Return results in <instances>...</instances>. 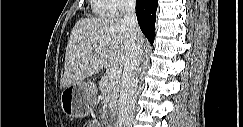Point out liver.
Wrapping results in <instances>:
<instances>
[{"mask_svg": "<svg viewBox=\"0 0 243 127\" xmlns=\"http://www.w3.org/2000/svg\"><path fill=\"white\" fill-rule=\"evenodd\" d=\"M143 43L145 38L139 35ZM130 32L121 18H81L66 48L62 87L98 73L102 68L124 67ZM86 52V53H85Z\"/></svg>", "mask_w": 243, "mask_h": 127, "instance_id": "6515ba94", "label": "liver"}]
</instances>
